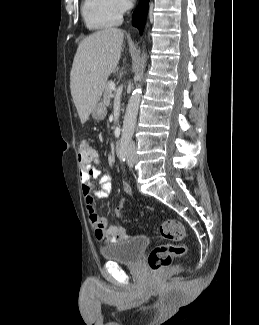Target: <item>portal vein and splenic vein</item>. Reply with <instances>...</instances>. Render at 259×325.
<instances>
[{"instance_id": "obj_1", "label": "portal vein and splenic vein", "mask_w": 259, "mask_h": 325, "mask_svg": "<svg viewBox=\"0 0 259 325\" xmlns=\"http://www.w3.org/2000/svg\"><path fill=\"white\" fill-rule=\"evenodd\" d=\"M110 88H111V90H115V83L111 82L110 83Z\"/></svg>"}]
</instances>
